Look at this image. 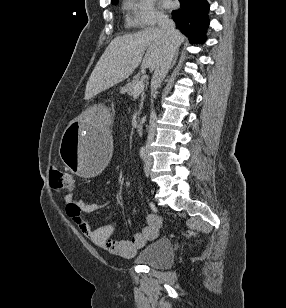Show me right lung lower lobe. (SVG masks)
<instances>
[{"instance_id": "1", "label": "right lung lower lobe", "mask_w": 286, "mask_h": 308, "mask_svg": "<svg viewBox=\"0 0 286 308\" xmlns=\"http://www.w3.org/2000/svg\"><path fill=\"white\" fill-rule=\"evenodd\" d=\"M180 8L172 11V18L176 26L191 42L203 43L206 41V29L209 26L206 0H179Z\"/></svg>"}]
</instances>
